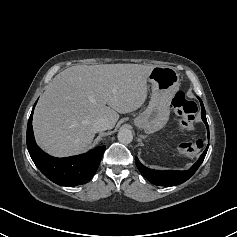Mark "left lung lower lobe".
I'll list each match as a JSON object with an SVG mask.
<instances>
[{
    "mask_svg": "<svg viewBox=\"0 0 237 237\" xmlns=\"http://www.w3.org/2000/svg\"><path fill=\"white\" fill-rule=\"evenodd\" d=\"M199 100L201 102L202 120L206 124L207 131H208V138H209V128H208V123H207V119H206L205 108H204V105H203L200 98H199ZM208 147H209V145L207 146L205 151L202 153V155L200 156L198 161L187 171H157V170H152V169H149V168L143 166L140 163V161L138 160L137 157H135V162H136V166L139 169V171L141 172V174L145 178H147L152 184L160 185V186H174V185H178V184H181V183L185 182L196 172V170L202 164V162H203V160L206 156Z\"/></svg>",
    "mask_w": 237,
    "mask_h": 237,
    "instance_id": "obj_1",
    "label": "left lung lower lobe"
}]
</instances>
